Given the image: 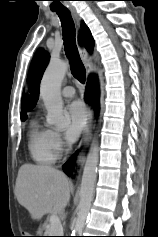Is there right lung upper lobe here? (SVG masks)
Instances as JSON below:
<instances>
[{
	"mask_svg": "<svg viewBox=\"0 0 158 237\" xmlns=\"http://www.w3.org/2000/svg\"><path fill=\"white\" fill-rule=\"evenodd\" d=\"M80 43H83L85 48L92 52L94 47V40L90 33L89 28L83 23L81 25ZM50 55L48 52L39 50L35 55L30 69V96L25 95L22 100V113L21 116H27L26 112L32 110L37 103L39 97V83L42 78L43 72L48 65Z\"/></svg>",
	"mask_w": 158,
	"mask_h": 237,
	"instance_id": "1",
	"label": "right lung upper lobe"
}]
</instances>
